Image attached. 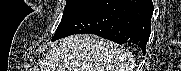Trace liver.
<instances>
[{
	"mask_svg": "<svg viewBox=\"0 0 181 71\" xmlns=\"http://www.w3.org/2000/svg\"><path fill=\"white\" fill-rule=\"evenodd\" d=\"M130 52L98 37L69 36L52 45L40 71H133Z\"/></svg>",
	"mask_w": 181,
	"mask_h": 71,
	"instance_id": "liver-1",
	"label": "liver"
}]
</instances>
